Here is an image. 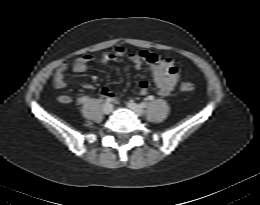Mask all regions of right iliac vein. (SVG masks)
<instances>
[{
    "label": "right iliac vein",
    "instance_id": "63e3f726",
    "mask_svg": "<svg viewBox=\"0 0 260 205\" xmlns=\"http://www.w3.org/2000/svg\"><path fill=\"white\" fill-rule=\"evenodd\" d=\"M102 110H103L104 114H110L113 110V106L109 103H106V104L103 105Z\"/></svg>",
    "mask_w": 260,
    "mask_h": 205
}]
</instances>
